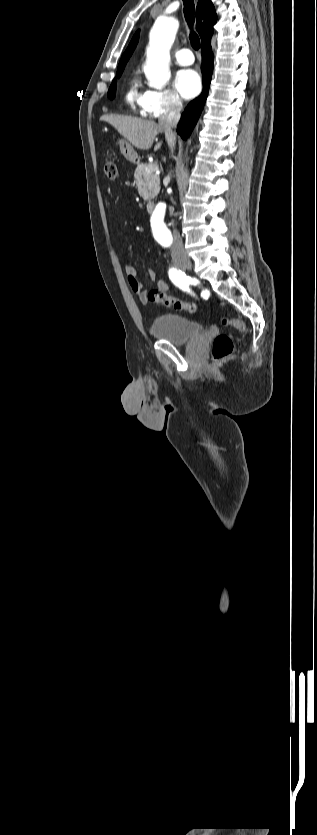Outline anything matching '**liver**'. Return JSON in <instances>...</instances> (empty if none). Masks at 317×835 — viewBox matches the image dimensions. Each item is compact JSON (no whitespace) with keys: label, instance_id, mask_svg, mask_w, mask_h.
Listing matches in <instances>:
<instances>
[{"label":"liver","instance_id":"6515ba94","mask_svg":"<svg viewBox=\"0 0 317 835\" xmlns=\"http://www.w3.org/2000/svg\"><path fill=\"white\" fill-rule=\"evenodd\" d=\"M100 121L111 124L124 138L140 150H148L152 147L155 137L164 130L154 121L142 120L115 114H105ZM161 142L157 143L154 151L161 148Z\"/></svg>","mask_w":317,"mask_h":835}]
</instances>
